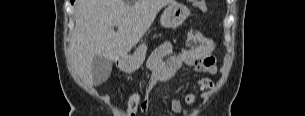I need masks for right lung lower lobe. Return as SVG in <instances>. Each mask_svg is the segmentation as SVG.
Segmentation results:
<instances>
[{"label":"right lung lower lobe","mask_w":305,"mask_h":116,"mask_svg":"<svg viewBox=\"0 0 305 116\" xmlns=\"http://www.w3.org/2000/svg\"><path fill=\"white\" fill-rule=\"evenodd\" d=\"M74 2V0H71V3H73Z\"/></svg>","instance_id":"98d812e1"}]
</instances>
